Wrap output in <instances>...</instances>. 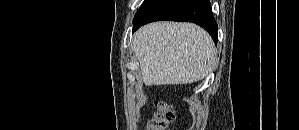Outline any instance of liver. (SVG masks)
I'll return each mask as SVG.
<instances>
[{
    "label": "liver",
    "instance_id": "obj_1",
    "mask_svg": "<svg viewBox=\"0 0 299 130\" xmlns=\"http://www.w3.org/2000/svg\"><path fill=\"white\" fill-rule=\"evenodd\" d=\"M133 51L145 85L190 84L214 68L216 49L210 35L192 23L155 22L133 37Z\"/></svg>",
    "mask_w": 299,
    "mask_h": 130
}]
</instances>
